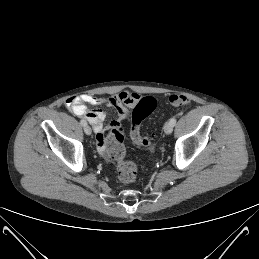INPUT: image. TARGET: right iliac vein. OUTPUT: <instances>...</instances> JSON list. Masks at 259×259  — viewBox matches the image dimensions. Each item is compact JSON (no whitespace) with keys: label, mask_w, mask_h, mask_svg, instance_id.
<instances>
[{"label":"right iliac vein","mask_w":259,"mask_h":259,"mask_svg":"<svg viewBox=\"0 0 259 259\" xmlns=\"http://www.w3.org/2000/svg\"><path fill=\"white\" fill-rule=\"evenodd\" d=\"M84 132H85L87 135H91V133H92L91 127H90L89 125H85V126H84Z\"/></svg>","instance_id":"1"}]
</instances>
